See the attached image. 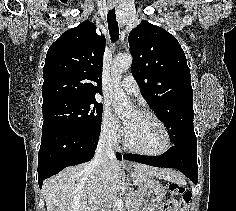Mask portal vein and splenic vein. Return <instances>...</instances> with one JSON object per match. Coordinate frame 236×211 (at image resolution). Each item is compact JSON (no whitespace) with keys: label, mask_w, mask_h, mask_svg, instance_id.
I'll list each match as a JSON object with an SVG mask.
<instances>
[{"label":"portal vein and splenic vein","mask_w":236,"mask_h":211,"mask_svg":"<svg viewBox=\"0 0 236 211\" xmlns=\"http://www.w3.org/2000/svg\"><path fill=\"white\" fill-rule=\"evenodd\" d=\"M111 201L115 204V206H117L119 209H122L125 207H129L130 205V200L126 201L125 202V205H124V202L121 198H118L117 196H110Z\"/></svg>","instance_id":"portal-vein-and-splenic-vein-1"}]
</instances>
